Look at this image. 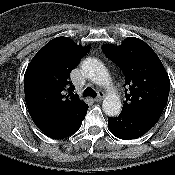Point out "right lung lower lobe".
Instances as JSON below:
<instances>
[{"instance_id": "98d812e1", "label": "right lung lower lobe", "mask_w": 175, "mask_h": 175, "mask_svg": "<svg viewBox=\"0 0 175 175\" xmlns=\"http://www.w3.org/2000/svg\"><path fill=\"white\" fill-rule=\"evenodd\" d=\"M86 114L87 110L76 117H53L37 126L48 137L63 139L74 134L79 129Z\"/></svg>"}]
</instances>
